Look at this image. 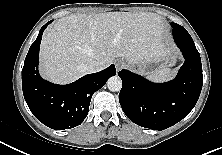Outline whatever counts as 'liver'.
Returning a JSON list of instances; mask_svg holds the SVG:
<instances>
[{
  "label": "liver",
  "mask_w": 222,
  "mask_h": 155,
  "mask_svg": "<svg viewBox=\"0 0 222 155\" xmlns=\"http://www.w3.org/2000/svg\"><path fill=\"white\" fill-rule=\"evenodd\" d=\"M163 34L161 18L154 13L71 14L57 20L43 36L41 74L66 84L86 74L91 61L102 69L118 57L136 64L153 55Z\"/></svg>",
  "instance_id": "6515ba94"
}]
</instances>
